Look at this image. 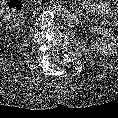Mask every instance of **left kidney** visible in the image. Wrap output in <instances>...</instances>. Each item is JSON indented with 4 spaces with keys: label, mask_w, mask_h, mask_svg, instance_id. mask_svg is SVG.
<instances>
[{
    "label": "left kidney",
    "mask_w": 118,
    "mask_h": 118,
    "mask_svg": "<svg viewBox=\"0 0 118 118\" xmlns=\"http://www.w3.org/2000/svg\"><path fill=\"white\" fill-rule=\"evenodd\" d=\"M94 47L96 48L97 52L103 55H111L113 53V47L109 43L108 40L99 38L95 41Z\"/></svg>",
    "instance_id": "obj_1"
}]
</instances>
